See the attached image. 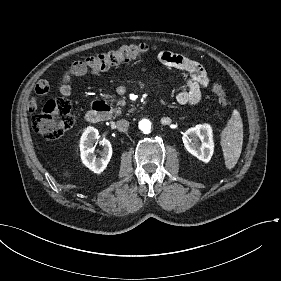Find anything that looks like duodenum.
Here are the masks:
<instances>
[{
  "label": "duodenum",
  "instance_id": "duodenum-1",
  "mask_svg": "<svg viewBox=\"0 0 281 281\" xmlns=\"http://www.w3.org/2000/svg\"><path fill=\"white\" fill-rule=\"evenodd\" d=\"M109 111V107L104 101H96L86 113V120L88 123L95 124L104 118Z\"/></svg>",
  "mask_w": 281,
  "mask_h": 281
}]
</instances>
